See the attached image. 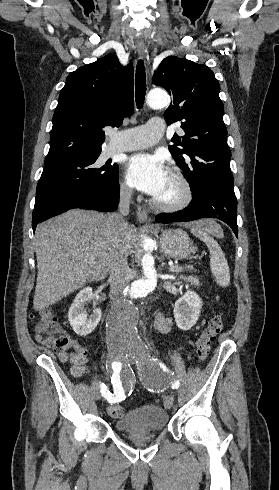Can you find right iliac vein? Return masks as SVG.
Segmentation results:
<instances>
[{
  "label": "right iliac vein",
  "mask_w": 279,
  "mask_h": 490,
  "mask_svg": "<svg viewBox=\"0 0 279 490\" xmlns=\"http://www.w3.org/2000/svg\"><path fill=\"white\" fill-rule=\"evenodd\" d=\"M116 359H117V356H115V355H111L109 357L110 361H115ZM99 398H100V392L97 393V399H99Z\"/></svg>",
  "instance_id": "1"
}]
</instances>
